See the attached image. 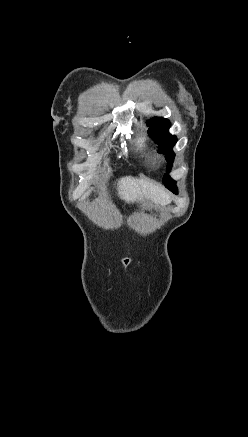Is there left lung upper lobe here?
Listing matches in <instances>:
<instances>
[{
	"mask_svg": "<svg viewBox=\"0 0 248 437\" xmlns=\"http://www.w3.org/2000/svg\"><path fill=\"white\" fill-rule=\"evenodd\" d=\"M147 125L150 126L148 130L149 135L157 141L161 152L166 156V160L168 161L167 172H169L175 156L172 148L177 142V138L168 132L170 122L167 119L155 117L147 121ZM163 182L169 190L177 194L176 182L172 180L168 174H165Z\"/></svg>",
	"mask_w": 248,
	"mask_h": 437,
	"instance_id": "obj_1",
	"label": "left lung upper lobe"
}]
</instances>
